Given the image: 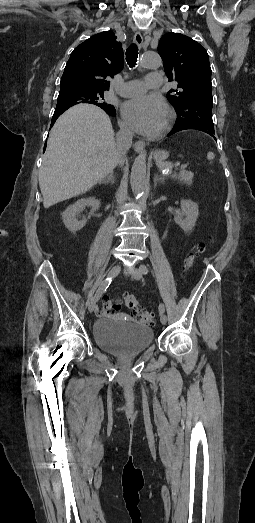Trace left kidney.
<instances>
[{
    "label": "left kidney",
    "instance_id": "left-kidney-1",
    "mask_svg": "<svg viewBox=\"0 0 255 523\" xmlns=\"http://www.w3.org/2000/svg\"><path fill=\"white\" fill-rule=\"evenodd\" d=\"M181 214H177L174 218V222L184 230V232H190L196 224V220L199 216L198 204L191 202V200H181ZM186 216V218H183Z\"/></svg>",
    "mask_w": 255,
    "mask_h": 523
}]
</instances>
